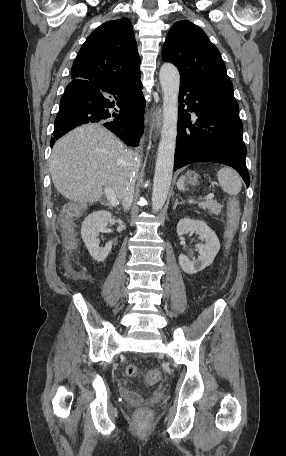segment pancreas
Returning <instances> with one entry per match:
<instances>
[{
  "label": "pancreas",
  "mask_w": 286,
  "mask_h": 456,
  "mask_svg": "<svg viewBox=\"0 0 286 456\" xmlns=\"http://www.w3.org/2000/svg\"><path fill=\"white\" fill-rule=\"evenodd\" d=\"M199 207L203 210H208L211 214L218 215L221 212L222 205L214 200H208L201 204Z\"/></svg>",
  "instance_id": "1"
}]
</instances>
